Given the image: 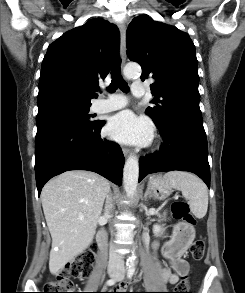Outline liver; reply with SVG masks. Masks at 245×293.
<instances>
[{
  "label": "liver",
  "instance_id": "1",
  "mask_svg": "<svg viewBox=\"0 0 245 293\" xmlns=\"http://www.w3.org/2000/svg\"><path fill=\"white\" fill-rule=\"evenodd\" d=\"M110 184L89 171H67L42 189L41 201L52 237L49 269L54 275L91 244Z\"/></svg>",
  "mask_w": 245,
  "mask_h": 293
}]
</instances>
